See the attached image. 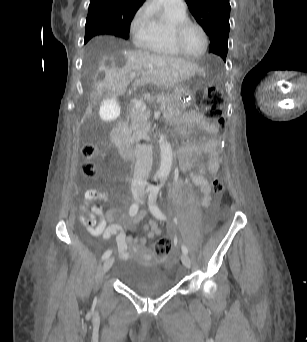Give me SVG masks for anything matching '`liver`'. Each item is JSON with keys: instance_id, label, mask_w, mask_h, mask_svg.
Returning a JSON list of instances; mask_svg holds the SVG:
<instances>
[{"instance_id": "liver-1", "label": "liver", "mask_w": 307, "mask_h": 342, "mask_svg": "<svg viewBox=\"0 0 307 342\" xmlns=\"http://www.w3.org/2000/svg\"><path fill=\"white\" fill-rule=\"evenodd\" d=\"M109 55L101 56V62L95 67L94 72L105 74L103 82L98 84L99 94L102 88H107L112 98L124 96L127 92L132 82L129 80V74H141L140 78H136L134 88H141L145 84L174 88L199 72V66L195 62L166 54H150L144 50H110ZM85 118L86 114L83 120Z\"/></svg>"}]
</instances>
